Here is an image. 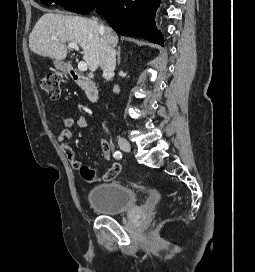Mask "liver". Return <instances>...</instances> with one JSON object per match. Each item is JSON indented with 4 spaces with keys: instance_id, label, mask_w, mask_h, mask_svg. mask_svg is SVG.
I'll use <instances>...</instances> for the list:
<instances>
[{
    "instance_id": "1",
    "label": "liver",
    "mask_w": 255,
    "mask_h": 272,
    "mask_svg": "<svg viewBox=\"0 0 255 272\" xmlns=\"http://www.w3.org/2000/svg\"><path fill=\"white\" fill-rule=\"evenodd\" d=\"M104 30L100 31L95 19L49 12L34 26L29 36V48L40 56L62 61L68 53L65 43H76L82 47L83 59L90 71H96L100 61L101 38L105 36L111 46L118 43V36L110 27H104Z\"/></svg>"
}]
</instances>
